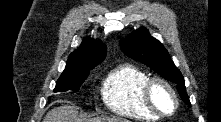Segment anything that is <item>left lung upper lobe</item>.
<instances>
[{
	"mask_svg": "<svg viewBox=\"0 0 221 122\" xmlns=\"http://www.w3.org/2000/svg\"><path fill=\"white\" fill-rule=\"evenodd\" d=\"M120 47L127 56L146 64L163 78L176 83L180 97L191 106L181 72L170 59L167 50L149 35L146 28L142 27L123 39Z\"/></svg>",
	"mask_w": 221,
	"mask_h": 122,
	"instance_id": "left-lung-upper-lobe-1",
	"label": "left lung upper lobe"
}]
</instances>
